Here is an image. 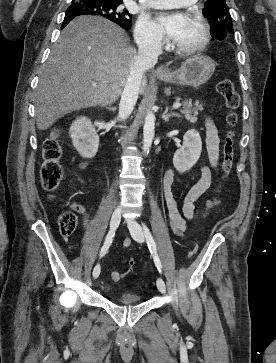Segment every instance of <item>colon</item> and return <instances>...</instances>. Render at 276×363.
I'll return each instance as SVG.
<instances>
[{
    "instance_id": "1",
    "label": "colon",
    "mask_w": 276,
    "mask_h": 363,
    "mask_svg": "<svg viewBox=\"0 0 276 363\" xmlns=\"http://www.w3.org/2000/svg\"><path fill=\"white\" fill-rule=\"evenodd\" d=\"M218 93L223 97L225 106L229 110L226 121L229 127H234L237 123V115L235 113L239 106L240 97L237 93L234 83L231 79H222L217 85ZM56 132L51 137L45 140L43 144L44 162L41 167V182L42 186L47 191H54L60 185L64 177L63 167L60 163L62 157V148L57 140ZM235 157L233 133L229 131L226 134L222 147L221 168L223 176L227 177L233 167ZM220 192V189L217 190ZM213 205V200H209L206 204L207 208ZM78 224L77 216L72 211L63 212L59 217V230L65 236H71ZM196 253V247L188 251V256L192 257ZM135 264L134 259L128 260L129 268Z\"/></svg>"
}]
</instances>
